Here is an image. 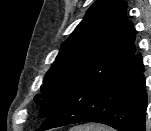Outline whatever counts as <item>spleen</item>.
<instances>
[{"instance_id":"1","label":"spleen","mask_w":151,"mask_h":131,"mask_svg":"<svg viewBox=\"0 0 151 131\" xmlns=\"http://www.w3.org/2000/svg\"><path fill=\"white\" fill-rule=\"evenodd\" d=\"M70 131H114V130L112 128L103 125L85 124V125L75 126L71 128Z\"/></svg>"}]
</instances>
